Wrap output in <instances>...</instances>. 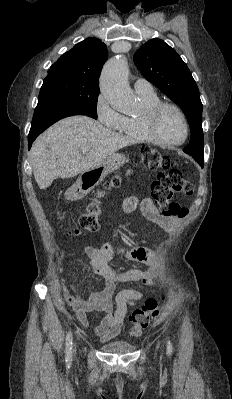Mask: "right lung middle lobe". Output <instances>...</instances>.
I'll return each mask as SVG.
<instances>
[{
  "instance_id": "right-lung-middle-lobe-1",
  "label": "right lung middle lobe",
  "mask_w": 232,
  "mask_h": 399,
  "mask_svg": "<svg viewBox=\"0 0 232 399\" xmlns=\"http://www.w3.org/2000/svg\"><path fill=\"white\" fill-rule=\"evenodd\" d=\"M99 89H90L61 80H44L39 99L73 104L97 118Z\"/></svg>"
}]
</instances>
